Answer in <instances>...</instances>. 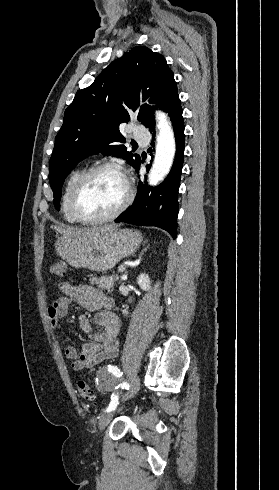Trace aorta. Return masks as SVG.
<instances>
[{"instance_id":"1","label":"aorta","mask_w":279,"mask_h":490,"mask_svg":"<svg viewBox=\"0 0 279 490\" xmlns=\"http://www.w3.org/2000/svg\"><path fill=\"white\" fill-rule=\"evenodd\" d=\"M155 116L159 132L154 162L148 176V183L152 186L157 185L167 176L176 153L175 137L170 121L161 111H156Z\"/></svg>"}]
</instances>
